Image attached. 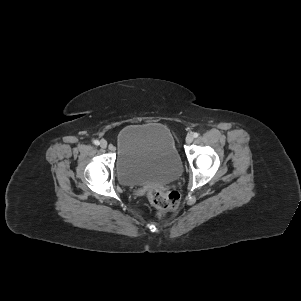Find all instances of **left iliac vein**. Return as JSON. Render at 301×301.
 <instances>
[{"label": "left iliac vein", "mask_w": 301, "mask_h": 301, "mask_svg": "<svg viewBox=\"0 0 301 301\" xmlns=\"http://www.w3.org/2000/svg\"><path fill=\"white\" fill-rule=\"evenodd\" d=\"M193 139H194V137L192 134H187L185 141L187 144H190V143H192Z\"/></svg>", "instance_id": "obj_1"}]
</instances>
